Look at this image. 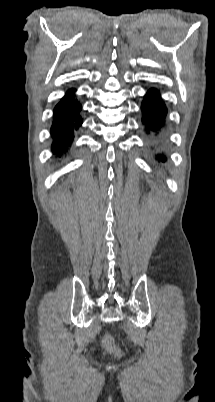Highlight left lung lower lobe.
<instances>
[{
  "instance_id": "0a47b994",
  "label": "left lung lower lobe",
  "mask_w": 215,
  "mask_h": 402,
  "mask_svg": "<svg viewBox=\"0 0 215 402\" xmlns=\"http://www.w3.org/2000/svg\"><path fill=\"white\" fill-rule=\"evenodd\" d=\"M142 123L148 136V141L156 150V157L165 160L161 148L165 139V122L167 109L156 89H150L141 104Z\"/></svg>"
}]
</instances>
